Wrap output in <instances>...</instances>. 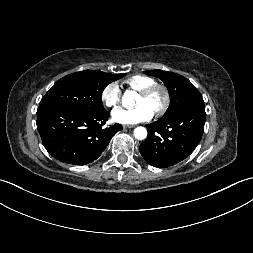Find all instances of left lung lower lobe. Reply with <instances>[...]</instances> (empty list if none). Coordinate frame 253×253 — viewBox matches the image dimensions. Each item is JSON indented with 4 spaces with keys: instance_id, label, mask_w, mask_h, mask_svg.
Listing matches in <instances>:
<instances>
[{
    "instance_id": "obj_1",
    "label": "left lung lower lobe",
    "mask_w": 253,
    "mask_h": 253,
    "mask_svg": "<svg viewBox=\"0 0 253 253\" xmlns=\"http://www.w3.org/2000/svg\"><path fill=\"white\" fill-rule=\"evenodd\" d=\"M205 107L201 94L167 118L146 125L148 137L140 153L151 166H173L187 158L201 140L205 124Z\"/></svg>"
}]
</instances>
